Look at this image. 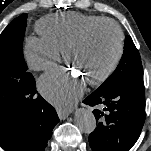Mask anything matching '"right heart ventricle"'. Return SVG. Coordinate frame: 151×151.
Instances as JSON below:
<instances>
[{"mask_svg": "<svg viewBox=\"0 0 151 151\" xmlns=\"http://www.w3.org/2000/svg\"><path fill=\"white\" fill-rule=\"evenodd\" d=\"M104 19L107 18L75 12L52 14L40 19L36 28L45 41L62 51L87 26Z\"/></svg>", "mask_w": 151, "mask_h": 151, "instance_id": "right-heart-ventricle-1", "label": "right heart ventricle"}]
</instances>
